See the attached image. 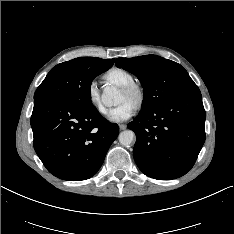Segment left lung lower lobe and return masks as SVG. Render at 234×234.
<instances>
[{"label":"left lung lower lobe","mask_w":234,"mask_h":234,"mask_svg":"<svg viewBox=\"0 0 234 234\" xmlns=\"http://www.w3.org/2000/svg\"><path fill=\"white\" fill-rule=\"evenodd\" d=\"M206 113L197 86L138 114L128 128L136 134L134 160L147 176L170 180L194 165L205 141Z\"/></svg>","instance_id":"1"}]
</instances>
